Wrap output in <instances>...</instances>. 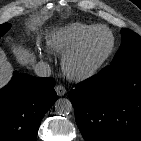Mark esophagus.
<instances>
[{"label": "esophagus", "mask_w": 141, "mask_h": 141, "mask_svg": "<svg viewBox=\"0 0 141 141\" xmlns=\"http://www.w3.org/2000/svg\"><path fill=\"white\" fill-rule=\"evenodd\" d=\"M55 90L58 96H64L67 92L66 88L62 85H57Z\"/></svg>", "instance_id": "obj_1"}]
</instances>
